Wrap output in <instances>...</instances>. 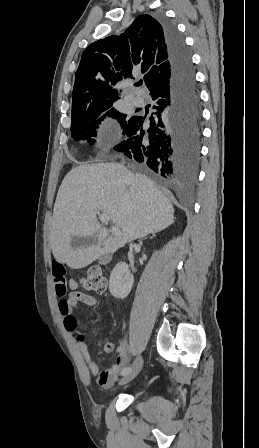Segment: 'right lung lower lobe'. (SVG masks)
Segmentation results:
<instances>
[{
    "label": "right lung lower lobe",
    "instance_id": "98d812e1",
    "mask_svg": "<svg viewBox=\"0 0 259 448\" xmlns=\"http://www.w3.org/2000/svg\"><path fill=\"white\" fill-rule=\"evenodd\" d=\"M163 27L169 61V87L152 95L154 110L143 128L146 116H134L124 135L114 146L129 158L145 163L174 185L194 184L199 166L201 113L194 68L183 38L175 26L159 18Z\"/></svg>",
    "mask_w": 259,
    "mask_h": 448
}]
</instances>
